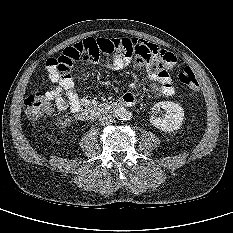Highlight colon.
Instances as JSON below:
<instances>
[{"mask_svg": "<svg viewBox=\"0 0 233 233\" xmlns=\"http://www.w3.org/2000/svg\"><path fill=\"white\" fill-rule=\"evenodd\" d=\"M132 49L126 39L89 38L66 48L59 57L52 58V64L61 75H66L70 74L73 64L78 61L96 62L102 57L115 54L131 55ZM178 78L191 90L199 88L198 79L190 67H185ZM55 103V96L50 92H33L25 100L27 113L33 119L49 114L54 109Z\"/></svg>", "mask_w": 233, "mask_h": 233, "instance_id": "5ec220e1", "label": "colon"}]
</instances>
